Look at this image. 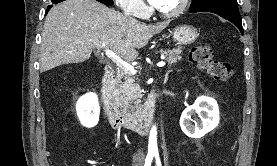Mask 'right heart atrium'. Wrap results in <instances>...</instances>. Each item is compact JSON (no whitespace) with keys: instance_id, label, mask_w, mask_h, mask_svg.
Listing matches in <instances>:
<instances>
[{"instance_id":"d8ad5b80","label":"right heart atrium","mask_w":277,"mask_h":166,"mask_svg":"<svg viewBox=\"0 0 277 166\" xmlns=\"http://www.w3.org/2000/svg\"><path fill=\"white\" fill-rule=\"evenodd\" d=\"M116 5L125 13L141 16L146 13V6L142 0H114Z\"/></svg>"}]
</instances>
